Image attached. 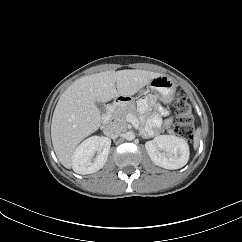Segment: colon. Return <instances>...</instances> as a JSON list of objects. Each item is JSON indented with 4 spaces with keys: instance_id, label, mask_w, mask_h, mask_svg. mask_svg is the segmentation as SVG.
Listing matches in <instances>:
<instances>
[{
    "instance_id": "colon-1",
    "label": "colon",
    "mask_w": 242,
    "mask_h": 242,
    "mask_svg": "<svg viewBox=\"0 0 242 242\" xmlns=\"http://www.w3.org/2000/svg\"><path fill=\"white\" fill-rule=\"evenodd\" d=\"M175 110V131L186 139H192L194 133V120L191 114L190 104L182 94H176L173 98Z\"/></svg>"
}]
</instances>
